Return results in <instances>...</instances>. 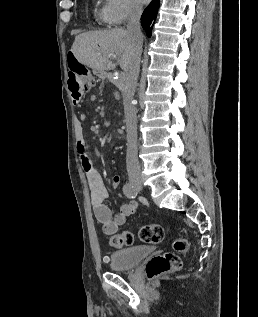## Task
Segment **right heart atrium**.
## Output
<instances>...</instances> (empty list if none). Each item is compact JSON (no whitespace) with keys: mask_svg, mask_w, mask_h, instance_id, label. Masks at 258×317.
Wrapping results in <instances>:
<instances>
[{"mask_svg":"<svg viewBox=\"0 0 258 317\" xmlns=\"http://www.w3.org/2000/svg\"><path fill=\"white\" fill-rule=\"evenodd\" d=\"M139 6L134 0H107L105 3V22L110 26H123L134 16Z\"/></svg>","mask_w":258,"mask_h":317,"instance_id":"obj_1","label":"right heart atrium"}]
</instances>
